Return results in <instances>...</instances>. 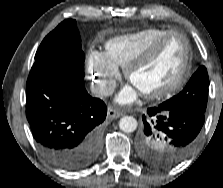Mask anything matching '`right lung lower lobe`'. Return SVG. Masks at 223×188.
<instances>
[{
    "mask_svg": "<svg viewBox=\"0 0 223 188\" xmlns=\"http://www.w3.org/2000/svg\"><path fill=\"white\" fill-rule=\"evenodd\" d=\"M106 114L105 103L62 67L31 69L26 116L40 150L55 166L77 171L96 159Z\"/></svg>",
    "mask_w": 223,
    "mask_h": 188,
    "instance_id": "98d812e1",
    "label": "right lung lower lobe"
}]
</instances>
